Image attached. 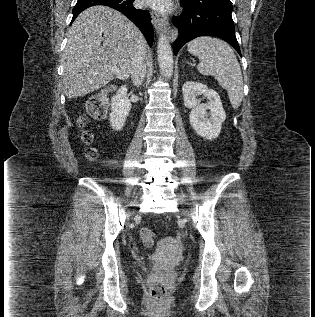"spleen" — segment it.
I'll use <instances>...</instances> for the list:
<instances>
[{"instance_id":"1","label":"spleen","mask_w":315,"mask_h":317,"mask_svg":"<svg viewBox=\"0 0 315 317\" xmlns=\"http://www.w3.org/2000/svg\"><path fill=\"white\" fill-rule=\"evenodd\" d=\"M187 49L199 58L198 71L214 76L227 90L232 107L237 109L243 98V77L231 47L221 39L203 36L190 41Z\"/></svg>"}]
</instances>
